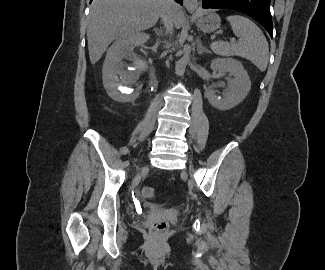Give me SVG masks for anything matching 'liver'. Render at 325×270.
Returning <instances> with one entry per match:
<instances>
[{"mask_svg":"<svg viewBox=\"0 0 325 270\" xmlns=\"http://www.w3.org/2000/svg\"><path fill=\"white\" fill-rule=\"evenodd\" d=\"M163 6V0H93L87 24L91 63L98 62L114 40H133L140 31L155 25ZM169 12L175 26L182 27V8L174 3Z\"/></svg>","mask_w":325,"mask_h":270,"instance_id":"1","label":"liver"}]
</instances>
